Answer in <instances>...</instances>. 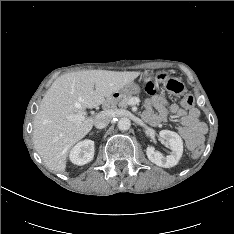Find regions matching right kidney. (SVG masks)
Wrapping results in <instances>:
<instances>
[{
	"label": "right kidney",
	"mask_w": 234,
	"mask_h": 234,
	"mask_svg": "<svg viewBox=\"0 0 234 234\" xmlns=\"http://www.w3.org/2000/svg\"><path fill=\"white\" fill-rule=\"evenodd\" d=\"M94 157V141L84 140L77 143L70 151L69 158L76 165L89 163Z\"/></svg>",
	"instance_id": "right-kidney-1"
}]
</instances>
